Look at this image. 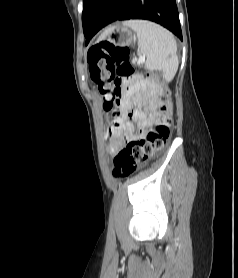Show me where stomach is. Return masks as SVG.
Instances as JSON below:
<instances>
[{
	"label": "stomach",
	"mask_w": 238,
	"mask_h": 278,
	"mask_svg": "<svg viewBox=\"0 0 238 278\" xmlns=\"http://www.w3.org/2000/svg\"><path fill=\"white\" fill-rule=\"evenodd\" d=\"M107 40L116 46H129L132 44L134 35L125 25H114L105 30Z\"/></svg>",
	"instance_id": "obj_1"
}]
</instances>
